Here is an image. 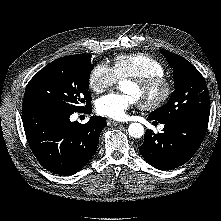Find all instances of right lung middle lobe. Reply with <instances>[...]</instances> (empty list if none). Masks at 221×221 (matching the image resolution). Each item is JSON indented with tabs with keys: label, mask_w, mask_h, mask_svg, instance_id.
Here are the masks:
<instances>
[{
	"label": "right lung middle lobe",
	"mask_w": 221,
	"mask_h": 221,
	"mask_svg": "<svg viewBox=\"0 0 221 221\" xmlns=\"http://www.w3.org/2000/svg\"><path fill=\"white\" fill-rule=\"evenodd\" d=\"M92 69L90 54L54 60L29 81L22 108L40 106L68 112L89 109L91 95L88 88Z\"/></svg>",
	"instance_id": "right-lung-middle-lobe-1"
}]
</instances>
